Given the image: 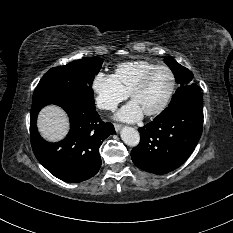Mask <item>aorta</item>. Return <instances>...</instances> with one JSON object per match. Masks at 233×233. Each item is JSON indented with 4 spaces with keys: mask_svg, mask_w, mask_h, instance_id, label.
I'll return each mask as SVG.
<instances>
[{
    "mask_svg": "<svg viewBox=\"0 0 233 233\" xmlns=\"http://www.w3.org/2000/svg\"><path fill=\"white\" fill-rule=\"evenodd\" d=\"M121 139L123 142L131 147H135L140 142V135L137 130L132 127L125 126L120 132Z\"/></svg>",
    "mask_w": 233,
    "mask_h": 233,
    "instance_id": "aorta-1",
    "label": "aorta"
}]
</instances>
